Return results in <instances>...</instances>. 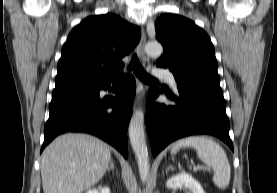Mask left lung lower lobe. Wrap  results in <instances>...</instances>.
<instances>
[{"instance_id": "0a47b994", "label": "left lung lower lobe", "mask_w": 277, "mask_h": 193, "mask_svg": "<svg viewBox=\"0 0 277 193\" xmlns=\"http://www.w3.org/2000/svg\"><path fill=\"white\" fill-rule=\"evenodd\" d=\"M180 97L170 95L175 106L152 104L158 89L148 94L146 127L152 154L156 156L169 143L185 136L210 134L223 140L231 149L226 102L219 82L198 81L177 85Z\"/></svg>"}]
</instances>
